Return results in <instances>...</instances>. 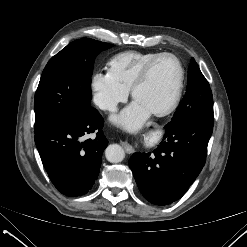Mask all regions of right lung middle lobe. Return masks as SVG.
Wrapping results in <instances>:
<instances>
[{"instance_id":"dd1d6c3e","label":"right lung middle lobe","mask_w":247,"mask_h":247,"mask_svg":"<svg viewBox=\"0 0 247 247\" xmlns=\"http://www.w3.org/2000/svg\"><path fill=\"white\" fill-rule=\"evenodd\" d=\"M112 44L75 40L50 59L35 94V134L91 109V76L96 56Z\"/></svg>"}]
</instances>
